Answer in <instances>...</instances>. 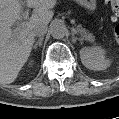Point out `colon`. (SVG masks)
Returning a JSON list of instances; mask_svg holds the SVG:
<instances>
[{"mask_svg":"<svg viewBox=\"0 0 119 119\" xmlns=\"http://www.w3.org/2000/svg\"><path fill=\"white\" fill-rule=\"evenodd\" d=\"M110 6H111V10H112V21L116 22L118 20L119 17V1L117 0H112L110 2ZM114 35L116 40L119 41V26H116L114 29Z\"/></svg>","mask_w":119,"mask_h":119,"instance_id":"obj_1","label":"colon"}]
</instances>
